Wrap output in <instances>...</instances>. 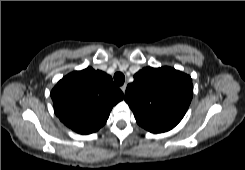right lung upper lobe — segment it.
Instances as JSON below:
<instances>
[{"instance_id":"1","label":"right lung upper lobe","mask_w":245,"mask_h":170,"mask_svg":"<svg viewBox=\"0 0 245 170\" xmlns=\"http://www.w3.org/2000/svg\"><path fill=\"white\" fill-rule=\"evenodd\" d=\"M55 114L73 131L90 134L107 121L123 99L111 76L88 67L63 77L51 91Z\"/></svg>"}]
</instances>
